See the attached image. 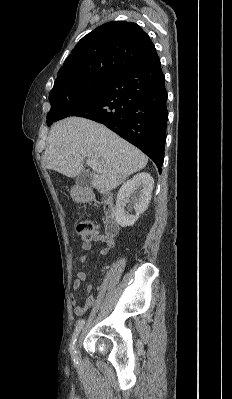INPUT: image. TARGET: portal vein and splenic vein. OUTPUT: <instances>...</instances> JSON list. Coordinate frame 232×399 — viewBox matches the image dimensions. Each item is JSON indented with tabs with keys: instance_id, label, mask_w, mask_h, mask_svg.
I'll return each instance as SVG.
<instances>
[{
	"instance_id": "1",
	"label": "portal vein and splenic vein",
	"mask_w": 232,
	"mask_h": 399,
	"mask_svg": "<svg viewBox=\"0 0 232 399\" xmlns=\"http://www.w3.org/2000/svg\"><path fill=\"white\" fill-rule=\"evenodd\" d=\"M86 164H88V166H91L93 170H96V172H99V174H101V170H98V168H96L95 162H92V160H86Z\"/></svg>"
}]
</instances>
